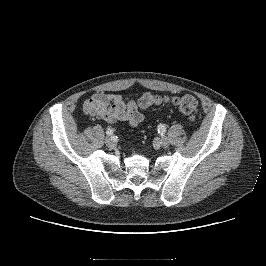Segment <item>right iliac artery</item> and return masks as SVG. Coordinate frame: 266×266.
<instances>
[{
  "mask_svg": "<svg viewBox=\"0 0 266 266\" xmlns=\"http://www.w3.org/2000/svg\"><path fill=\"white\" fill-rule=\"evenodd\" d=\"M106 134H107L108 136H112V135H113V129L108 128L107 131H106Z\"/></svg>",
  "mask_w": 266,
  "mask_h": 266,
  "instance_id": "obj_1",
  "label": "right iliac artery"
}]
</instances>
